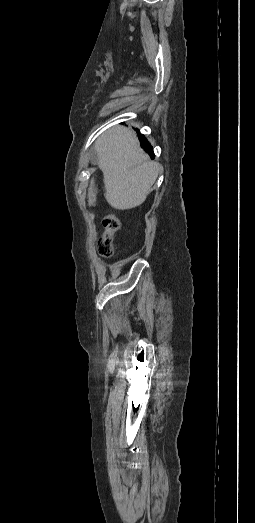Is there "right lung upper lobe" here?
<instances>
[{
    "mask_svg": "<svg viewBox=\"0 0 255 523\" xmlns=\"http://www.w3.org/2000/svg\"><path fill=\"white\" fill-rule=\"evenodd\" d=\"M139 137H140V140H142L141 145H142V147L144 148V150H145L147 153H149L150 156H151L152 158H154L153 148H152V146L150 145V143L146 140V138H145L144 136L139 135ZM144 140H145V141H144Z\"/></svg>",
    "mask_w": 255,
    "mask_h": 523,
    "instance_id": "right-lung-upper-lobe-1",
    "label": "right lung upper lobe"
}]
</instances>
